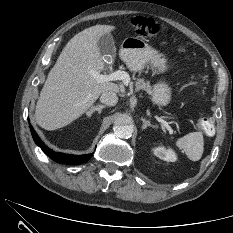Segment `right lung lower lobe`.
<instances>
[{"mask_svg": "<svg viewBox=\"0 0 233 233\" xmlns=\"http://www.w3.org/2000/svg\"><path fill=\"white\" fill-rule=\"evenodd\" d=\"M29 121V120H28ZM30 130L33 136L35 143L43 150V152L50 157L52 160L62 163V164H81L87 162L90 159V155H72V154H64L60 152H54L49 149L44 143L40 140L39 136L36 134L33 127L29 124Z\"/></svg>", "mask_w": 233, "mask_h": 233, "instance_id": "98d812e1", "label": "right lung lower lobe"}]
</instances>
